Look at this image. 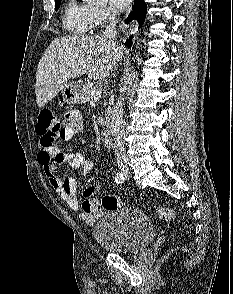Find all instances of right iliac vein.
<instances>
[{
    "label": "right iliac vein",
    "mask_w": 233,
    "mask_h": 294,
    "mask_svg": "<svg viewBox=\"0 0 233 294\" xmlns=\"http://www.w3.org/2000/svg\"><path fill=\"white\" fill-rule=\"evenodd\" d=\"M120 170H121V173L125 176L129 174V168L126 166H120Z\"/></svg>",
    "instance_id": "1"
}]
</instances>
